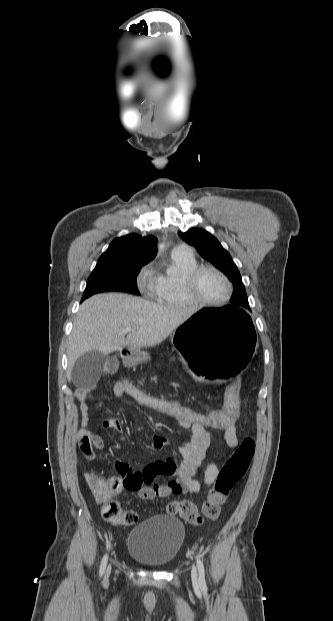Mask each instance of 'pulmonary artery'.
I'll return each instance as SVG.
<instances>
[{"label": "pulmonary artery", "mask_w": 333, "mask_h": 621, "mask_svg": "<svg viewBox=\"0 0 333 621\" xmlns=\"http://www.w3.org/2000/svg\"><path fill=\"white\" fill-rule=\"evenodd\" d=\"M173 252L178 253V254H183V255H192L191 249L187 245H184V244H181L175 247L173 249Z\"/></svg>", "instance_id": "obj_1"}]
</instances>
